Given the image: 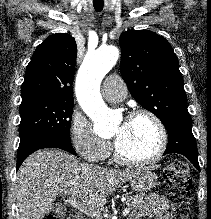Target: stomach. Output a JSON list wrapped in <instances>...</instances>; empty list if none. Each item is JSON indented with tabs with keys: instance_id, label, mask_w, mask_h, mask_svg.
Listing matches in <instances>:
<instances>
[{
	"instance_id": "1",
	"label": "stomach",
	"mask_w": 211,
	"mask_h": 219,
	"mask_svg": "<svg viewBox=\"0 0 211 219\" xmlns=\"http://www.w3.org/2000/svg\"><path fill=\"white\" fill-rule=\"evenodd\" d=\"M158 176L149 168L137 170V174L130 180V186L134 191L145 192L156 186Z\"/></svg>"
}]
</instances>
